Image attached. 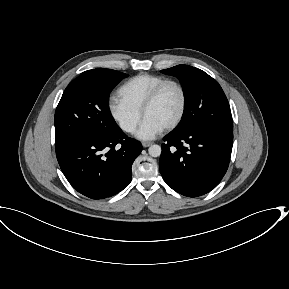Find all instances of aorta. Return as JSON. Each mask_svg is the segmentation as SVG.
<instances>
[{"label":"aorta","instance_id":"obj_1","mask_svg":"<svg viewBox=\"0 0 289 289\" xmlns=\"http://www.w3.org/2000/svg\"><path fill=\"white\" fill-rule=\"evenodd\" d=\"M162 149L159 145H151L148 149V153L152 157H158L161 155Z\"/></svg>","mask_w":289,"mask_h":289}]
</instances>
